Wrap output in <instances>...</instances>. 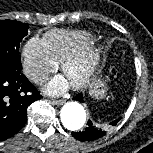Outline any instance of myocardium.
<instances>
[{
  "label": "myocardium",
  "mask_w": 153,
  "mask_h": 153,
  "mask_svg": "<svg viewBox=\"0 0 153 153\" xmlns=\"http://www.w3.org/2000/svg\"><path fill=\"white\" fill-rule=\"evenodd\" d=\"M101 57L102 49L97 45H90L62 63V71L66 76L74 68H78L81 71L80 77L71 82V86L75 90L83 89L90 83Z\"/></svg>",
  "instance_id": "1"
}]
</instances>
